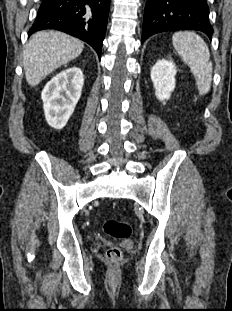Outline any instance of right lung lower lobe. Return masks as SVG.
Returning a JSON list of instances; mask_svg holds the SVG:
<instances>
[{"mask_svg":"<svg viewBox=\"0 0 232 311\" xmlns=\"http://www.w3.org/2000/svg\"><path fill=\"white\" fill-rule=\"evenodd\" d=\"M110 0H42L28 36L44 29H56L77 37L101 56Z\"/></svg>","mask_w":232,"mask_h":311,"instance_id":"right-lung-lower-lobe-1","label":"right lung lower lobe"}]
</instances>
